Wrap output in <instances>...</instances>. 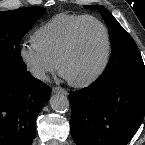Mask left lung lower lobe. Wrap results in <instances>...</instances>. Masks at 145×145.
I'll list each match as a JSON object with an SVG mask.
<instances>
[{
    "label": "left lung lower lobe",
    "instance_id": "obj_1",
    "mask_svg": "<svg viewBox=\"0 0 145 145\" xmlns=\"http://www.w3.org/2000/svg\"><path fill=\"white\" fill-rule=\"evenodd\" d=\"M70 130L77 145H125L145 113V73L94 81L69 94Z\"/></svg>",
    "mask_w": 145,
    "mask_h": 145
}]
</instances>
